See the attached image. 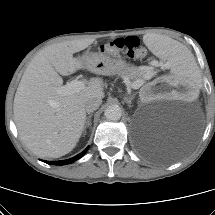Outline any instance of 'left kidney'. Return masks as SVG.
I'll return each mask as SVG.
<instances>
[{"label":"left kidney","mask_w":215,"mask_h":215,"mask_svg":"<svg viewBox=\"0 0 215 215\" xmlns=\"http://www.w3.org/2000/svg\"><path fill=\"white\" fill-rule=\"evenodd\" d=\"M143 94L147 98L162 96L177 101H195L199 97L198 89L194 83L168 73L160 75L158 83L151 82L146 85Z\"/></svg>","instance_id":"1"}]
</instances>
